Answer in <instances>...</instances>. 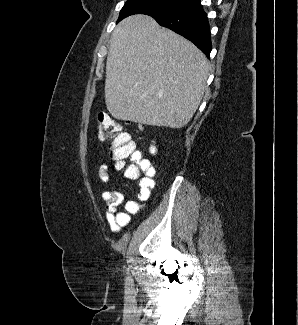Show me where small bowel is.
I'll return each instance as SVG.
<instances>
[{
    "label": "small bowel",
    "instance_id": "1",
    "mask_svg": "<svg viewBox=\"0 0 298 325\" xmlns=\"http://www.w3.org/2000/svg\"><path fill=\"white\" fill-rule=\"evenodd\" d=\"M98 175L102 183H108L109 166L107 164L101 165ZM154 175L155 170L151 169L139 178V189L136 200L125 202L123 210H119V206L123 203V196L121 193L109 190L103 192L102 198L104 201L105 215L113 233H119L122 228L128 226L131 222V215L140 212L144 208L143 203L148 201L155 187Z\"/></svg>",
    "mask_w": 298,
    "mask_h": 325
}]
</instances>
